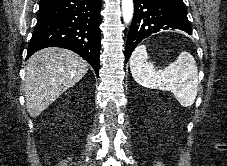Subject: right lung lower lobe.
Wrapping results in <instances>:
<instances>
[{"label":"right lung lower lobe","mask_w":227,"mask_h":166,"mask_svg":"<svg viewBox=\"0 0 227 166\" xmlns=\"http://www.w3.org/2000/svg\"><path fill=\"white\" fill-rule=\"evenodd\" d=\"M101 0H49L40 9L26 60L36 51L61 47L83 57L99 73Z\"/></svg>","instance_id":"obj_1"}]
</instances>
